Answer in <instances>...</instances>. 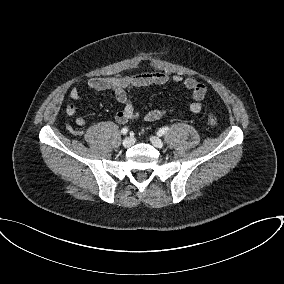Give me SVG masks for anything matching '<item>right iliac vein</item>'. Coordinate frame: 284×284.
<instances>
[{"label": "right iliac vein", "mask_w": 284, "mask_h": 284, "mask_svg": "<svg viewBox=\"0 0 284 284\" xmlns=\"http://www.w3.org/2000/svg\"><path fill=\"white\" fill-rule=\"evenodd\" d=\"M134 143V139L131 138V137H126L123 142H122V145L125 147V148H129L133 145Z\"/></svg>", "instance_id": "obj_1"}]
</instances>
